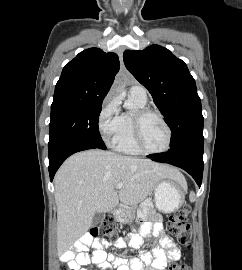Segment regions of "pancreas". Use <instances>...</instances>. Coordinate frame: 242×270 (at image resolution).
<instances>
[{
  "mask_svg": "<svg viewBox=\"0 0 242 270\" xmlns=\"http://www.w3.org/2000/svg\"><path fill=\"white\" fill-rule=\"evenodd\" d=\"M126 211L132 215V218L131 219H133L134 218L133 215H134V212H135V208L134 207H130V208H127Z\"/></svg>",
  "mask_w": 242,
  "mask_h": 270,
  "instance_id": "1",
  "label": "pancreas"
}]
</instances>
